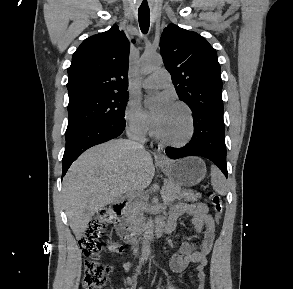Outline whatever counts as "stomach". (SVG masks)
I'll return each instance as SVG.
<instances>
[{"label":"stomach","instance_id":"stomach-1","mask_svg":"<svg viewBox=\"0 0 293 289\" xmlns=\"http://www.w3.org/2000/svg\"><path fill=\"white\" fill-rule=\"evenodd\" d=\"M169 180L180 186H194L206 175V165L199 157H186L176 161L159 164Z\"/></svg>","mask_w":293,"mask_h":289}]
</instances>
